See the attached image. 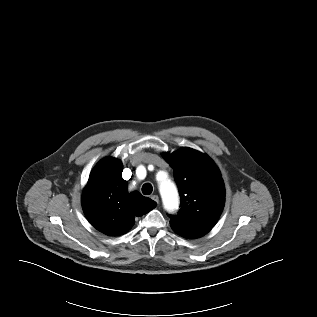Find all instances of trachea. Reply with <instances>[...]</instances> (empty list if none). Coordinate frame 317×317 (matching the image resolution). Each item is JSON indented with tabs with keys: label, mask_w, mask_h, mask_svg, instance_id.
I'll list each match as a JSON object with an SVG mask.
<instances>
[{
	"label": "trachea",
	"mask_w": 317,
	"mask_h": 317,
	"mask_svg": "<svg viewBox=\"0 0 317 317\" xmlns=\"http://www.w3.org/2000/svg\"><path fill=\"white\" fill-rule=\"evenodd\" d=\"M153 191V187L150 183H145L143 186H142V193L144 195H150Z\"/></svg>",
	"instance_id": "3493384b"
}]
</instances>
